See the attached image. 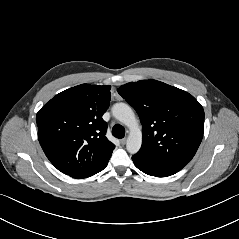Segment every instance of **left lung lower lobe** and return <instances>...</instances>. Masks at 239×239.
I'll return each instance as SVG.
<instances>
[{
  "instance_id": "1",
  "label": "left lung lower lobe",
  "mask_w": 239,
  "mask_h": 239,
  "mask_svg": "<svg viewBox=\"0 0 239 239\" xmlns=\"http://www.w3.org/2000/svg\"><path fill=\"white\" fill-rule=\"evenodd\" d=\"M132 160L134 162V165L139 170L151 176L167 177L176 173V171L169 170L159 165L153 164L151 162L142 160L140 157H137L136 155L132 156Z\"/></svg>"
}]
</instances>
